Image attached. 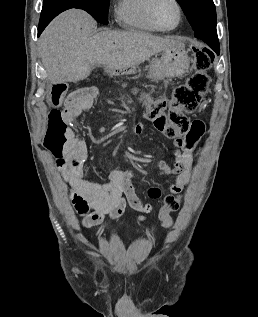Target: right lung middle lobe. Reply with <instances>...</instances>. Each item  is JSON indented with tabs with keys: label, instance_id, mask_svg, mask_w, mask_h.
Segmentation results:
<instances>
[{
	"label": "right lung middle lobe",
	"instance_id": "right-lung-middle-lobe-1",
	"mask_svg": "<svg viewBox=\"0 0 258 317\" xmlns=\"http://www.w3.org/2000/svg\"><path fill=\"white\" fill-rule=\"evenodd\" d=\"M89 6L93 9V17L102 24H108L109 0H88Z\"/></svg>",
	"mask_w": 258,
	"mask_h": 317
}]
</instances>
